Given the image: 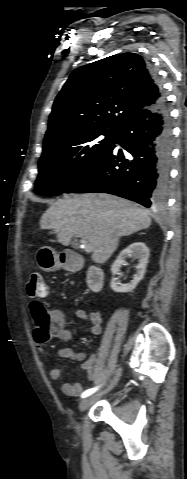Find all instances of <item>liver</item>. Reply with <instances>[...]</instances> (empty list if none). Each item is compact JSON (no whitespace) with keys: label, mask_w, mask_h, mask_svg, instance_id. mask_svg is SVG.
Returning a JSON list of instances; mask_svg holds the SVG:
<instances>
[{"label":"liver","mask_w":187,"mask_h":479,"mask_svg":"<svg viewBox=\"0 0 187 479\" xmlns=\"http://www.w3.org/2000/svg\"><path fill=\"white\" fill-rule=\"evenodd\" d=\"M151 225L146 210L109 194L66 196L53 203L40 220L41 229H52L57 242L69 246L82 238L92 246L91 259L105 263L116 251L119 240Z\"/></svg>","instance_id":"liver-1"}]
</instances>
